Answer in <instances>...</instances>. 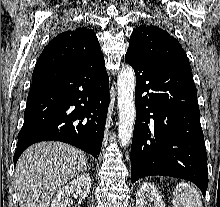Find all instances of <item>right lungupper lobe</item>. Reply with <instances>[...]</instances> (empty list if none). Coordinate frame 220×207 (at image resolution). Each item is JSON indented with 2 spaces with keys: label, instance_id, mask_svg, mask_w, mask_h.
Returning <instances> with one entry per match:
<instances>
[{
  "label": "right lung upper lobe",
  "instance_id": "cb5924a9",
  "mask_svg": "<svg viewBox=\"0 0 220 207\" xmlns=\"http://www.w3.org/2000/svg\"><path fill=\"white\" fill-rule=\"evenodd\" d=\"M99 54L100 44L95 32L79 27L54 37L44 48L35 68L75 66Z\"/></svg>",
  "mask_w": 220,
  "mask_h": 207
}]
</instances>
